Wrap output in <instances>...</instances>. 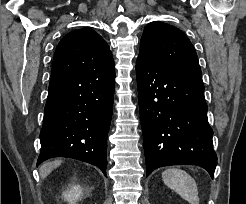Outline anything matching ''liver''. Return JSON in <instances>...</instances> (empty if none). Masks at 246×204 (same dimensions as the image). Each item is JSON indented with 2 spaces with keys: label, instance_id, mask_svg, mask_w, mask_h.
Instances as JSON below:
<instances>
[{
  "label": "liver",
  "instance_id": "obj_1",
  "mask_svg": "<svg viewBox=\"0 0 246 204\" xmlns=\"http://www.w3.org/2000/svg\"><path fill=\"white\" fill-rule=\"evenodd\" d=\"M61 163V160L44 163L39 170L40 177L45 179L53 171V169L57 168L59 165H61Z\"/></svg>",
  "mask_w": 246,
  "mask_h": 204
}]
</instances>
